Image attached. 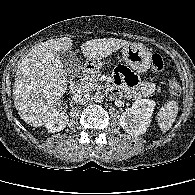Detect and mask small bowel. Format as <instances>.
I'll return each instance as SVG.
<instances>
[{
  "label": "small bowel",
  "instance_id": "small-bowel-1",
  "mask_svg": "<svg viewBox=\"0 0 195 195\" xmlns=\"http://www.w3.org/2000/svg\"><path fill=\"white\" fill-rule=\"evenodd\" d=\"M120 90H124L127 96L136 98L158 91L160 87L151 82H140L130 69L125 66H119L115 70L112 92L117 93Z\"/></svg>",
  "mask_w": 195,
  "mask_h": 195
}]
</instances>
